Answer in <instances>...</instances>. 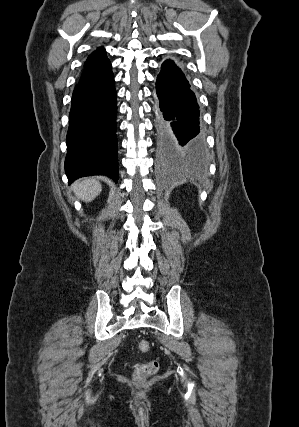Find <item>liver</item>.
Listing matches in <instances>:
<instances>
[{"label": "liver", "mask_w": 299, "mask_h": 427, "mask_svg": "<svg viewBox=\"0 0 299 427\" xmlns=\"http://www.w3.org/2000/svg\"><path fill=\"white\" fill-rule=\"evenodd\" d=\"M72 190L79 199L90 202L100 194L102 186L94 178H83L73 184Z\"/></svg>", "instance_id": "liver-1"}]
</instances>
